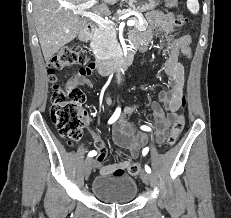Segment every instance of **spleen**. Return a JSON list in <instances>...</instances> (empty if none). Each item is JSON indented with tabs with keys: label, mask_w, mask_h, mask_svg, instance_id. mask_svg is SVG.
<instances>
[{
	"label": "spleen",
	"mask_w": 231,
	"mask_h": 218,
	"mask_svg": "<svg viewBox=\"0 0 231 218\" xmlns=\"http://www.w3.org/2000/svg\"><path fill=\"white\" fill-rule=\"evenodd\" d=\"M187 8L191 13L197 14L199 12L198 0H187Z\"/></svg>",
	"instance_id": "spleen-1"
}]
</instances>
